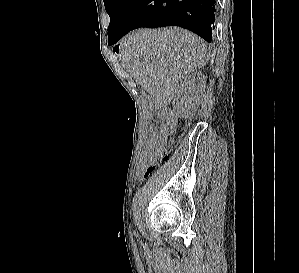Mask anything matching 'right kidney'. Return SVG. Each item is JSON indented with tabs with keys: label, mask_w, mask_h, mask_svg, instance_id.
Returning a JSON list of instances; mask_svg holds the SVG:
<instances>
[{
	"label": "right kidney",
	"mask_w": 299,
	"mask_h": 273,
	"mask_svg": "<svg viewBox=\"0 0 299 273\" xmlns=\"http://www.w3.org/2000/svg\"><path fill=\"white\" fill-rule=\"evenodd\" d=\"M205 85L206 77L201 72L190 73L182 79L172 103L180 118L190 117L197 110Z\"/></svg>",
	"instance_id": "1"
}]
</instances>
